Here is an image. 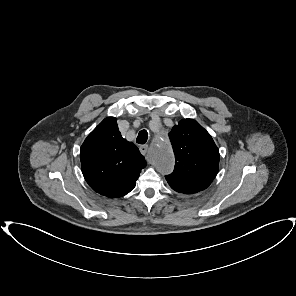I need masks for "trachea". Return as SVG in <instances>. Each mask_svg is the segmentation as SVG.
<instances>
[{
	"mask_svg": "<svg viewBox=\"0 0 296 296\" xmlns=\"http://www.w3.org/2000/svg\"><path fill=\"white\" fill-rule=\"evenodd\" d=\"M148 139V132L146 130H141L137 136L136 142L139 144H145Z\"/></svg>",
	"mask_w": 296,
	"mask_h": 296,
	"instance_id": "trachea-1",
	"label": "trachea"
}]
</instances>
